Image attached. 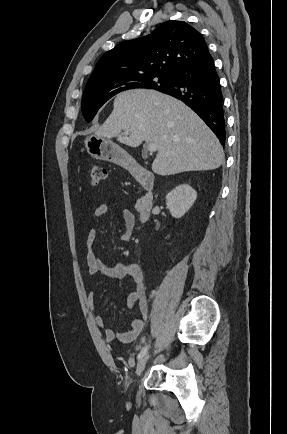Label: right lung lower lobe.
Segmentation results:
<instances>
[{
    "label": "right lung lower lobe",
    "mask_w": 287,
    "mask_h": 434,
    "mask_svg": "<svg viewBox=\"0 0 287 434\" xmlns=\"http://www.w3.org/2000/svg\"><path fill=\"white\" fill-rule=\"evenodd\" d=\"M161 92L183 101L194 110L224 145L226 130L223 95L210 54L179 72L173 85Z\"/></svg>",
    "instance_id": "right-lung-lower-lobe-1"
}]
</instances>
